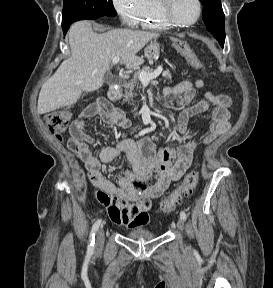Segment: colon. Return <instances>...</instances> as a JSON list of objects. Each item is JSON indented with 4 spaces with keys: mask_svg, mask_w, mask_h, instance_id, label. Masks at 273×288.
<instances>
[{
    "mask_svg": "<svg viewBox=\"0 0 273 288\" xmlns=\"http://www.w3.org/2000/svg\"><path fill=\"white\" fill-rule=\"evenodd\" d=\"M177 51L195 68L200 69L201 63L193 52L192 48L184 41H176ZM71 120V113L67 110H55L45 116V121L50 132L59 140ZM199 181V172L190 171L183 179L182 183L160 203V210L163 213L172 212L181 201L191 195L196 189Z\"/></svg>",
    "mask_w": 273,
    "mask_h": 288,
    "instance_id": "obj_1",
    "label": "colon"
}]
</instances>
